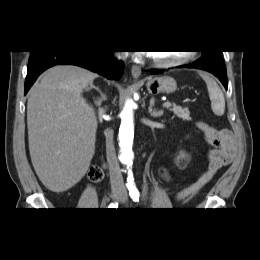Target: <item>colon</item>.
<instances>
[{
	"label": "colon",
	"mask_w": 260,
	"mask_h": 260,
	"mask_svg": "<svg viewBox=\"0 0 260 260\" xmlns=\"http://www.w3.org/2000/svg\"><path fill=\"white\" fill-rule=\"evenodd\" d=\"M184 162L183 158L178 159V163L181 164ZM160 174L163 178H168V171L166 169H161ZM89 177L92 181H100L103 177V167L102 166H95L91 169L89 173Z\"/></svg>",
	"instance_id": "5ec220e1"
}]
</instances>
